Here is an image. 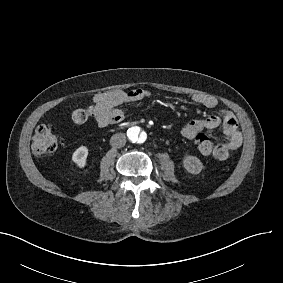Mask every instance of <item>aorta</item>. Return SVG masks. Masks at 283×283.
Here are the masks:
<instances>
[{
	"instance_id": "1",
	"label": "aorta",
	"mask_w": 283,
	"mask_h": 283,
	"mask_svg": "<svg viewBox=\"0 0 283 283\" xmlns=\"http://www.w3.org/2000/svg\"><path fill=\"white\" fill-rule=\"evenodd\" d=\"M127 136L133 143H144L147 139V133L139 126H132L127 130Z\"/></svg>"
}]
</instances>
